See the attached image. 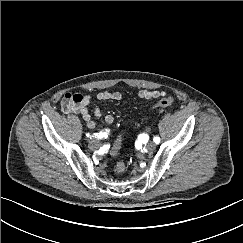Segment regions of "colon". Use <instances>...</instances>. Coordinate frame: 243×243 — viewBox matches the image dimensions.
<instances>
[{"mask_svg": "<svg viewBox=\"0 0 243 243\" xmlns=\"http://www.w3.org/2000/svg\"><path fill=\"white\" fill-rule=\"evenodd\" d=\"M84 97L81 94H66L62 101H61V107L64 112L71 113L74 112L80 104L83 102ZM175 102V99L173 96H165L161 98L154 106L153 108L158 107H169L172 106ZM122 145V138L118 137L116 141L114 142L112 148H111V154L114 157H118L120 149ZM114 170L117 174H122L126 170V162L123 158H117L115 164H114Z\"/></svg>", "mask_w": 243, "mask_h": 243, "instance_id": "colon-1", "label": "colon"}]
</instances>
